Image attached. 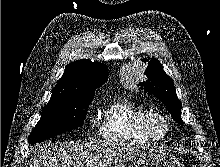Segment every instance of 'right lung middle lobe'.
<instances>
[{"instance_id": "dd1d6c3e", "label": "right lung middle lobe", "mask_w": 220, "mask_h": 167, "mask_svg": "<svg viewBox=\"0 0 220 167\" xmlns=\"http://www.w3.org/2000/svg\"><path fill=\"white\" fill-rule=\"evenodd\" d=\"M94 94H80L50 100L29 136V144L82 126Z\"/></svg>"}]
</instances>
